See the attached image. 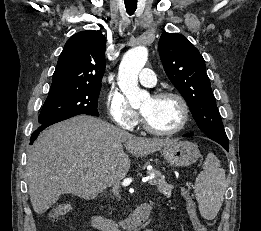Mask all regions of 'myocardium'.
I'll list each match as a JSON object with an SVG mask.
<instances>
[{"instance_id": "myocardium-1", "label": "myocardium", "mask_w": 261, "mask_h": 231, "mask_svg": "<svg viewBox=\"0 0 261 231\" xmlns=\"http://www.w3.org/2000/svg\"><path fill=\"white\" fill-rule=\"evenodd\" d=\"M153 99H163V98H174L175 100L178 101L180 107H181V112H182V119L178 127L169 130V131H162L158 130L155 127L151 125V123L148 121L147 117L145 114L140 111L141 113V118H142V124L143 127L146 131H148L151 134L158 135V136H172L175 134L180 133L185 129L187 126L189 119H190V110L188 103L186 102L185 98L181 96L180 94L172 91H161L157 92L154 95H152Z\"/></svg>"}]
</instances>
